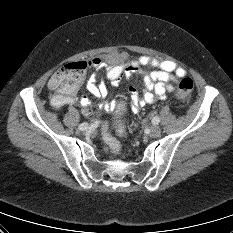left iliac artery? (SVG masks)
<instances>
[{
	"label": "left iliac artery",
	"instance_id": "left-iliac-artery-1",
	"mask_svg": "<svg viewBox=\"0 0 233 233\" xmlns=\"http://www.w3.org/2000/svg\"><path fill=\"white\" fill-rule=\"evenodd\" d=\"M160 122V118L158 116H155L153 119H152V123L154 125L158 124Z\"/></svg>",
	"mask_w": 233,
	"mask_h": 233
}]
</instances>
